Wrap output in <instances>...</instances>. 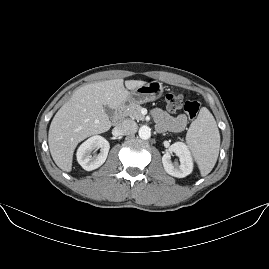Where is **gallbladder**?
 <instances>
[{"mask_svg": "<svg viewBox=\"0 0 269 269\" xmlns=\"http://www.w3.org/2000/svg\"><path fill=\"white\" fill-rule=\"evenodd\" d=\"M104 111L109 118H112L114 116V111L110 109L109 107L105 106Z\"/></svg>", "mask_w": 269, "mask_h": 269, "instance_id": "obj_1", "label": "gallbladder"}]
</instances>
